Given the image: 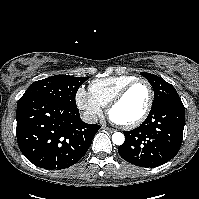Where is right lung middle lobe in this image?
<instances>
[{
  "mask_svg": "<svg viewBox=\"0 0 199 199\" xmlns=\"http://www.w3.org/2000/svg\"><path fill=\"white\" fill-rule=\"evenodd\" d=\"M88 77L55 75L30 85L18 102L33 98H45L71 107H76L75 95Z\"/></svg>",
  "mask_w": 199,
  "mask_h": 199,
  "instance_id": "1",
  "label": "right lung middle lobe"
}]
</instances>
